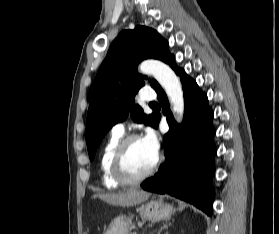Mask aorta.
<instances>
[{"instance_id": "1", "label": "aorta", "mask_w": 279, "mask_h": 234, "mask_svg": "<svg viewBox=\"0 0 279 234\" xmlns=\"http://www.w3.org/2000/svg\"><path fill=\"white\" fill-rule=\"evenodd\" d=\"M140 71L144 74L153 75L164 88L169 98L175 119L181 122L185 107L184 97L181 83L174 71L165 63L157 60L143 61L140 64Z\"/></svg>"}]
</instances>
